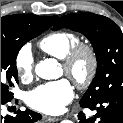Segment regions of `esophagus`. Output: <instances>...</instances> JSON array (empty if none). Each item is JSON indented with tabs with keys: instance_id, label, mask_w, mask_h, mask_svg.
Returning a JSON list of instances; mask_svg holds the SVG:
<instances>
[{
	"instance_id": "34e87169",
	"label": "esophagus",
	"mask_w": 123,
	"mask_h": 123,
	"mask_svg": "<svg viewBox=\"0 0 123 123\" xmlns=\"http://www.w3.org/2000/svg\"><path fill=\"white\" fill-rule=\"evenodd\" d=\"M44 119L48 122H56L60 120L59 117H51V116H44Z\"/></svg>"
}]
</instances>
